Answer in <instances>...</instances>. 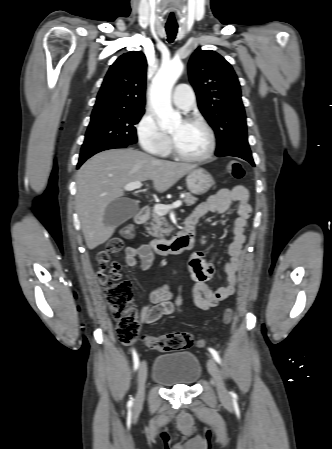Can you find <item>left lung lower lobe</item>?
Here are the masks:
<instances>
[{
  "label": "left lung lower lobe",
  "mask_w": 332,
  "mask_h": 449,
  "mask_svg": "<svg viewBox=\"0 0 332 449\" xmlns=\"http://www.w3.org/2000/svg\"><path fill=\"white\" fill-rule=\"evenodd\" d=\"M216 155L217 156H235V157H239V158H242V159L248 161L253 166H255V163L253 161L251 153H243V152L233 151V152H227V153L216 154Z\"/></svg>",
  "instance_id": "0a47b994"
}]
</instances>
